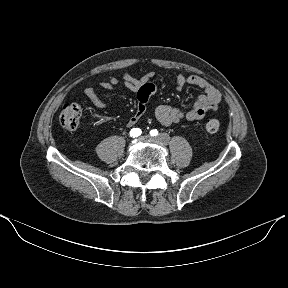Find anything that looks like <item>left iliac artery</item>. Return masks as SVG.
I'll return each instance as SVG.
<instances>
[{"instance_id": "44dca946", "label": "left iliac artery", "mask_w": 288, "mask_h": 288, "mask_svg": "<svg viewBox=\"0 0 288 288\" xmlns=\"http://www.w3.org/2000/svg\"><path fill=\"white\" fill-rule=\"evenodd\" d=\"M157 132V130L156 129H152L151 131H150V135L151 136H155V133Z\"/></svg>"}]
</instances>
